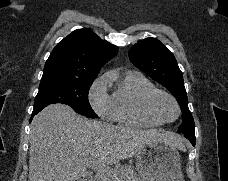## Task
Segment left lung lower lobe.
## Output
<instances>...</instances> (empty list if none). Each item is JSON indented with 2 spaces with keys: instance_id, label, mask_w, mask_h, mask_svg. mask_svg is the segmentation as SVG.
<instances>
[{
  "instance_id": "obj_1",
  "label": "left lung lower lobe",
  "mask_w": 228,
  "mask_h": 181,
  "mask_svg": "<svg viewBox=\"0 0 228 181\" xmlns=\"http://www.w3.org/2000/svg\"><path fill=\"white\" fill-rule=\"evenodd\" d=\"M185 137L190 140L193 146H195V132L194 131H186L184 132Z\"/></svg>"
}]
</instances>
